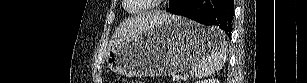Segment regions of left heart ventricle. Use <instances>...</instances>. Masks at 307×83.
<instances>
[{
  "label": "left heart ventricle",
  "instance_id": "1",
  "mask_svg": "<svg viewBox=\"0 0 307 83\" xmlns=\"http://www.w3.org/2000/svg\"><path fill=\"white\" fill-rule=\"evenodd\" d=\"M132 3H135V2H132ZM145 5L143 4H137V5H130V9L131 10H140L142 7H144Z\"/></svg>",
  "mask_w": 307,
  "mask_h": 83
}]
</instances>
